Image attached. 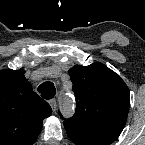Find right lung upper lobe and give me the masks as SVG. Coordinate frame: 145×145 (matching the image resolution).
I'll use <instances>...</instances> for the list:
<instances>
[{"mask_svg": "<svg viewBox=\"0 0 145 145\" xmlns=\"http://www.w3.org/2000/svg\"><path fill=\"white\" fill-rule=\"evenodd\" d=\"M24 73L22 68L0 71V145H32L52 113Z\"/></svg>", "mask_w": 145, "mask_h": 145, "instance_id": "right-lung-upper-lobe-1", "label": "right lung upper lobe"}]
</instances>
